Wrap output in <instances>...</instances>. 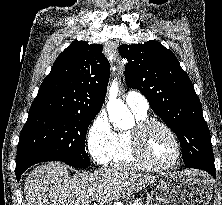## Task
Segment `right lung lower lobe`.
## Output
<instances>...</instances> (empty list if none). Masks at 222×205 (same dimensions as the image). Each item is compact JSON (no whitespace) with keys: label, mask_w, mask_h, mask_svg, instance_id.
<instances>
[{"label":"right lung lower lobe","mask_w":222,"mask_h":205,"mask_svg":"<svg viewBox=\"0 0 222 205\" xmlns=\"http://www.w3.org/2000/svg\"><path fill=\"white\" fill-rule=\"evenodd\" d=\"M44 161H54L50 157L44 155V154H34V155H28V156H22L16 158V177L19 180L22 173L29 168L30 166Z\"/></svg>","instance_id":"1"}]
</instances>
